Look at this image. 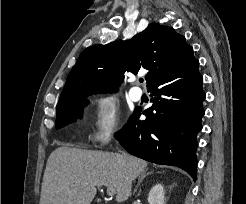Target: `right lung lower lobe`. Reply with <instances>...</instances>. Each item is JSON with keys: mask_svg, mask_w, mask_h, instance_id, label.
I'll return each mask as SVG.
<instances>
[{"mask_svg": "<svg viewBox=\"0 0 246 204\" xmlns=\"http://www.w3.org/2000/svg\"><path fill=\"white\" fill-rule=\"evenodd\" d=\"M196 60L172 71L147 87L154 98L138 121L141 109L116 135L132 155L150 162L177 166L196 180V135L202 129L204 115L203 77Z\"/></svg>", "mask_w": 246, "mask_h": 204, "instance_id": "right-lung-lower-lobe-1", "label": "right lung lower lobe"}]
</instances>
